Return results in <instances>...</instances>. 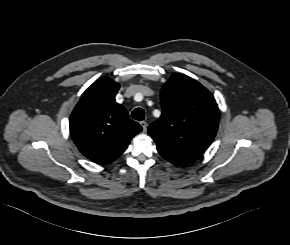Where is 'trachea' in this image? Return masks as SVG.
I'll use <instances>...</instances> for the list:
<instances>
[{"instance_id": "1", "label": "trachea", "mask_w": 290, "mask_h": 245, "mask_svg": "<svg viewBox=\"0 0 290 245\" xmlns=\"http://www.w3.org/2000/svg\"><path fill=\"white\" fill-rule=\"evenodd\" d=\"M132 118L138 121L144 120L145 117V113L144 110L142 108H136L133 112H132Z\"/></svg>"}]
</instances>
